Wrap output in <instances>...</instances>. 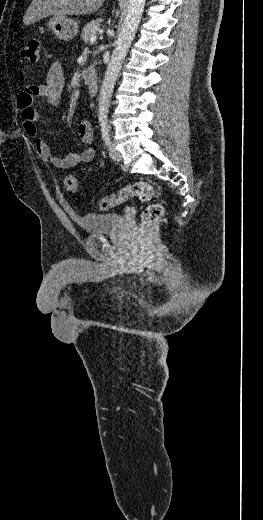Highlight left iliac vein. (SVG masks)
Instances as JSON below:
<instances>
[{"mask_svg":"<svg viewBox=\"0 0 263 520\" xmlns=\"http://www.w3.org/2000/svg\"><path fill=\"white\" fill-rule=\"evenodd\" d=\"M108 146V152L110 157L115 161H122V155L121 153L116 149L115 145L112 142L107 143Z\"/></svg>","mask_w":263,"mask_h":520,"instance_id":"obj_1","label":"left iliac vein"}]
</instances>
